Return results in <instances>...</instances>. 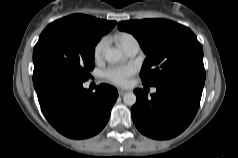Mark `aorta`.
<instances>
[{
    "instance_id": "obj_1",
    "label": "aorta",
    "mask_w": 238,
    "mask_h": 158,
    "mask_svg": "<svg viewBox=\"0 0 238 158\" xmlns=\"http://www.w3.org/2000/svg\"><path fill=\"white\" fill-rule=\"evenodd\" d=\"M104 57L109 63H116L123 58V53L116 48H107ZM123 101L126 105L133 106L136 103L137 98L133 92H128L123 96Z\"/></svg>"
}]
</instances>
